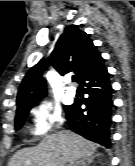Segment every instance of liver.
I'll return each instance as SVG.
<instances>
[{
  "label": "liver",
  "mask_w": 135,
  "mask_h": 166,
  "mask_svg": "<svg viewBox=\"0 0 135 166\" xmlns=\"http://www.w3.org/2000/svg\"><path fill=\"white\" fill-rule=\"evenodd\" d=\"M96 149L95 143L64 130L47 135L36 147L19 150L8 166H64L68 162L88 160Z\"/></svg>",
  "instance_id": "1"
}]
</instances>
